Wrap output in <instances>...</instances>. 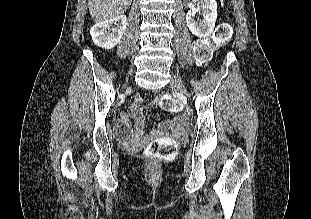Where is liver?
<instances>
[{
    "label": "liver",
    "instance_id": "6515ba94",
    "mask_svg": "<svg viewBox=\"0 0 311 219\" xmlns=\"http://www.w3.org/2000/svg\"><path fill=\"white\" fill-rule=\"evenodd\" d=\"M132 0H88L89 12L94 22L99 23L122 15Z\"/></svg>",
    "mask_w": 311,
    "mask_h": 219
}]
</instances>
